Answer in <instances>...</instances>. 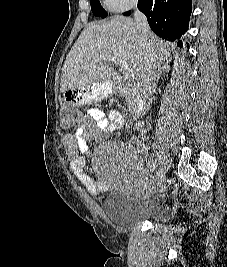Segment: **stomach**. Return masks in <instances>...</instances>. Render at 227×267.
I'll use <instances>...</instances> for the list:
<instances>
[{
    "instance_id": "0dacf381",
    "label": "stomach",
    "mask_w": 227,
    "mask_h": 267,
    "mask_svg": "<svg viewBox=\"0 0 227 267\" xmlns=\"http://www.w3.org/2000/svg\"><path fill=\"white\" fill-rule=\"evenodd\" d=\"M112 93L111 86L103 84L84 85V87H68V91H62L60 104L81 105L87 101L103 98Z\"/></svg>"
}]
</instances>
